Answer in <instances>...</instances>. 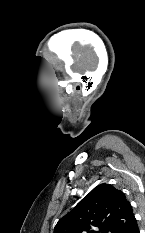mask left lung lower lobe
Here are the masks:
<instances>
[{"label":"left lung lower lobe","instance_id":"1","mask_svg":"<svg viewBox=\"0 0 145 233\" xmlns=\"http://www.w3.org/2000/svg\"><path fill=\"white\" fill-rule=\"evenodd\" d=\"M129 233H139V228H138L137 222L134 224V226L132 227V229Z\"/></svg>","mask_w":145,"mask_h":233}]
</instances>
